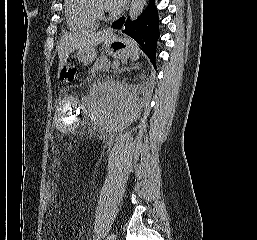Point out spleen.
Wrapping results in <instances>:
<instances>
[{
  "mask_svg": "<svg viewBox=\"0 0 257 240\" xmlns=\"http://www.w3.org/2000/svg\"><path fill=\"white\" fill-rule=\"evenodd\" d=\"M131 44H132V49H131L132 60L136 61L139 58V48L134 42H131Z\"/></svg>",
  "mask_w": 257,
  "mask_h": 240,
  "instance_id": "obj_1",
  "label": "spleen"
}]
</instances>
